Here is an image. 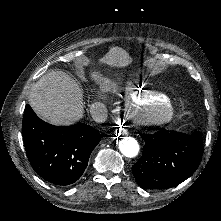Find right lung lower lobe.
Wrapping results in <instances>:
<instances>
[{"instance_id": "obj_1", "label": "right lung lower lobe", "mask_w": 221, "mask_h": 221, "mask_svg": "<svg viewBox=\"0 0 221 221\" xmlns=\"http://www.w3.org/2000/svg\"><path fill=\"white\" fill-rule=\"evenodd\" d=\"M22 135L29 162L35 172L55 185L76 182L85 171L101 135L93 127L77 123L54 126L41 120L26 105Z\"/></svg>"}]
</instances>
